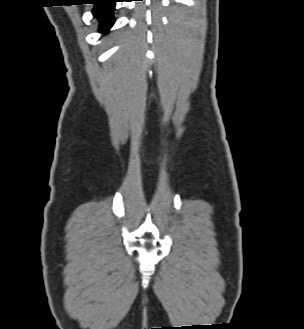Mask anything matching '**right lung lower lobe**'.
<instances>
[{
  "label": "right lung lower lobe",
  "mask_w": 304,
  "mask_h": 329,
  "mask_svg": "<svg viewBox=\"0 0 304 329\" xmlns=\"http://www.w3.org/2000/svg\"><path fill=\"white\" fill-rule=\"evenodd\" d=\"M117 0H95L93 15L99 21V32H107L114 24L113 11Z\"/></svg>",
  "instance_id": "1"
}]
</instances>
